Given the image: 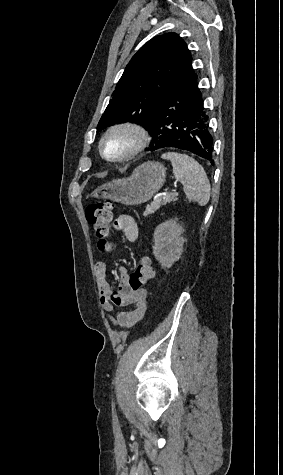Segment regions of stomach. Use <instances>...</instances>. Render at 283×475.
<instances>
[{
    "mask_svg": "<svg viewBox=\"0 0 283 475\" xmlns=\"http://www.w3.org/2000/svg\"><path fill=\"white\" fill-rule=\"evenodd\" d=\"M166 180V168L160 162H144L135 168L130 178L113 180L104 186H98L92 192L97 200H112L126 206H138L151 200L162 188Z\"/></svg>",
    "mask_w": 283,
    "mask_h": 475,
    "instance_id": "obj_1",
    "label": "stomach"
}]
</instances>
